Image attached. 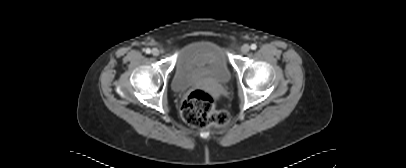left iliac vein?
<instances>
[{
	"label": "left iliac vein",
	"instance_id": "1",
	"mask_svg": "<svg viewBox=\"0 0 406 168\" xmlns=\"http://www.w3.org/2000/svg\"><path fill=\"white\" fill-rule=\"evenodd\" d=\"M241 52L243 53V54H247L248 52H249V50H250V46L248 45V44H244L242 47H241Z\"/></svg>",
	"mask_w": 406,
	"mask_h": 168
}]
</instances>
